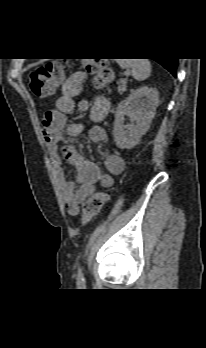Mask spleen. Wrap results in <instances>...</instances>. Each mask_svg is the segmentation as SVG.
Here are the masks:
<instances>
[{"mask_svg": "<svg viewBox=\"0 0 206 348\" xmlns=\"http://www.w3.org/2000/svg\"><path fill=\"white\" fill-rule=\"evenodd\" d=\"M117 63L122 69H131L132 76L142 81L151 74V64L148 59H117Z\"/></svg>", "mask_w": 206, "mask_h": 348, "instance_id": "spleen-1", "label": "spleen"}]
</instances>
